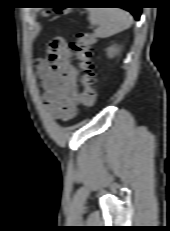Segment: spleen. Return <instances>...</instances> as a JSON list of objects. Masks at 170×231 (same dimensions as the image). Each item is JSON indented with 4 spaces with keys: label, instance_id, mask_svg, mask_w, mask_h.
Here are the masks:
<instances>
[{
    "label": "spleen",
    "instance_id": "obj_1",
    "mask_svg": "<svg viewBox=\"0 0 170 231\" xmlns=\"http://www.w3.org/2000/svg\"><path fill=\"white\" fill-rule=\"evenodd\" d=\"M89 21L98 26L95 35L100 38L115 35L128 29L131 24L130 15L119 8H91Z\"/></svg>",
    "mask_w": 170,
    "mask_h": 231
}]
</instances>
